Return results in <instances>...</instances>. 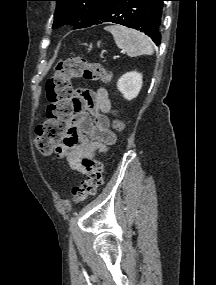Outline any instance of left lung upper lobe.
Here are the masks:
<instances>
[{
	"label": "left lung upper lobe",
	"mask_w": 216,
	"mask_h": 285,
	"mask_svg": "<svg viewBox=\"0 0 216 285\" xmlns=\"http://www.w3.org/2000/svg\"><path fill=\"white\" fill-rule=\"evenodd\" d=\"M56 11L53 28L65 23L74 24V29L93 25L112 0H54Z\"/></svg>",
	"instance_id": "5c2ea615"
}]
</instances>
